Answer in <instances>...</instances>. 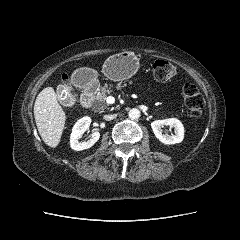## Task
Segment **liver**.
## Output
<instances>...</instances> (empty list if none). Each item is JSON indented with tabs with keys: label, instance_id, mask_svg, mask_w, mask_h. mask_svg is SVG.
<instances>
[{
	"label": "liver",
	"instance_id": "liver-1",
	"mask_svg": "<svg viewBox=\"0 0 240 240\" xmlns=\"http://www.w3.org/2000/svg\"><path fill=\"white\" fill-rule=\"evenodd\" d=\"M34 118L42 140L51 148L60 143L66 115L52 87L44 88L34 104Z\"/></svg>",
	"mask_w": 240,
	"mask_h": 240
}]
</instances>
